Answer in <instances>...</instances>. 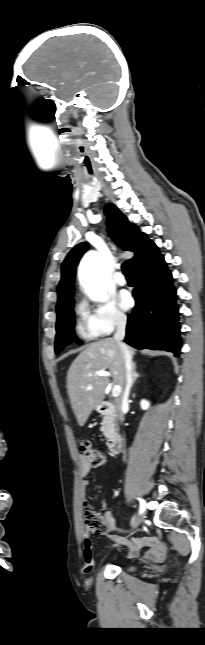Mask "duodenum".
<instances>
[{
  "label": "duodenum",
  "instance_id": "duodenum-1",
  "mask_svg": "<svg viewBox=\"0 0 205 645\" xmlns=\"http://www.w3.org/2000/svg\"><path fill=\"white\" fill-rule=\"evenodd\" d=\"M99 412L105 415L110 421L114 422L116 418V407L110 402H102L99 405ZM107 447L111 455H116L122 447V438L116 429H112L107 438Z\"/></svg>",
  "mask_w": 205,
  "mask_h": 645
}]
</instances>
